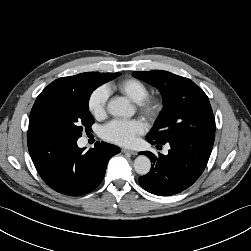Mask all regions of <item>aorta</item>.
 Returning <instances> with one entry per match:
<instances>
[{"label": "aorta", "mask_w": 251, "mask_h": 251, "mask_svg": "<svg viewBox=\"0 0 251 251\" xmlns=\"http://www.w3.org/2000/svg\"><path fill=\"white\" fill-rule=\"evenodd\" d=\"M108 112L115 117H132L134 108L125 98H115L108 102ZM151 168V161L147 156L140 155L134 160V170L139 175H146Z\"/></svg>", "instance_id": "1"}]
</instances>
